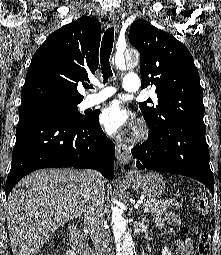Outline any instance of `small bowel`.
<instances>
[{"mask_svg":"<svg viewBox=\"0 0 221 255\" xmlns=\"http://www.w3.org/2000/svg\"><path fill=\"white\" fill-rule=\"evenodd\" d=\"M166 221L172 225L178 224V219L172 213H169L166 217ZM156 225L161 227L163 221L158 219L156 220ZM175 254L176 255H193V242L189 237H183L176 241L175 243Z\"/></svg>","mask_w":221,"mask_h":255,"instance_id":"small-bowel-1","label":"small bowel"}]
</instances>
